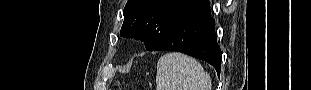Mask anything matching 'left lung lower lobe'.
Masks as SVG:
<instances>
[{
    "label": "left lung lower lobe",
    "mask_w": 311,
    "mask_h": 90,
    "mask_svg": "<svg viewBox=\"0 0 311 90\" xmlns=\"http://www.w3.org/2000/svg\"><path fill=\"white\" fill-rule=\"evenodd\" d=\"M208 0L180 17L164 37L150 50H173L186 53L211 64L220 74L222 53L214 34Z\"/></svg>",
    "instance_id": "obj_1"
}]
</instances>
